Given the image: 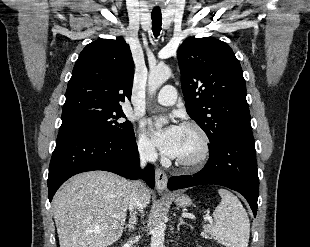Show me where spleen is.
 <instances>
[{"mask_svg": "<svg viewBox=\"0 0 310 247\" xmlns=\"http://www.w3.org/2000/svg\"><path fill=\"white\" fill-rule=\"evenodd\" d=\"M221 202L213 212L214 223L204 230L226 247H247L250 222L239 199L226 189H219Z\"/></svg>", "mask_w": 310, "mask_h": 247, "instance_id": "obj_1", "label": "spleen"}]
</instances>
